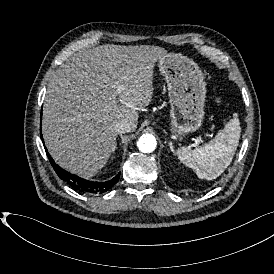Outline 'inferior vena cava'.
<instances>
[{
	"mask_svg": "<svg viewBox=\"0 0 274 274\" xmlns=\"http://www.w3.org/2000/svg\"><path fill=\"white\" fill-rule=\"evenodd\" d=\"M137 124L131 120L125 119L123 121H117L114 126L115 133L122 134L132 132L136 129Z\"/></svg>",
	"mask_w": 274,
	"mask_h": 274,
	"instance_id": "1",
	"label": "inferior vena cava"
}]
</instances>
